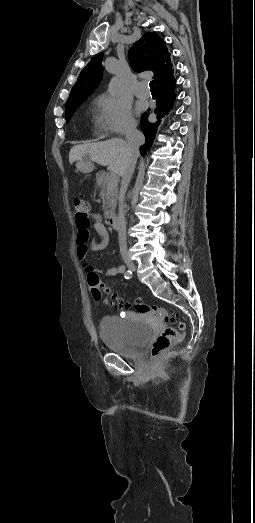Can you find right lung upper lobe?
I'll return each instance as SVG.
<instances>
[{"instance_id": "right-lung-upper-lobe-1", "label": "right lung upper lobe", "mask_w": 255, "mask_h": 523, "mask_svg": "<svg viewBox=\"0 0 255 523\" xmlns=\"http://www.w3.org/2000/svg\"><path fill=\"white\" fill-rule=\"evenodd\" d=\"M170 56L165 41L155 32L143 34L129 50V61L135 71L154 72L153 79L157 91L156 107L152 110V120L148 121L147 113H144L141 117L140 129L145 136V143L140 147V152L143 155L147 153L154 141L161 118L175 101L176 79ZM102 58V53L96 55L81 71L70 92L67 103L85 101L98 87L103 77ZM153 118L158 120L154 122Z\"/></svg>"}]
</instances>
